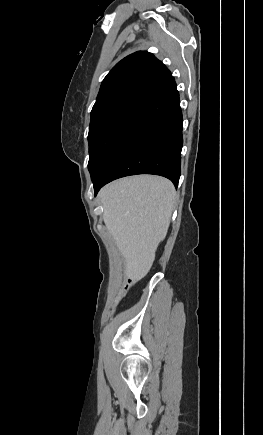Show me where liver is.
<instances>
[{
	"label": "liver",
	"instance_id": "liver-1",
	"mask_svg": "<svg viewBox=\"0 0 263 435\" xmlns=\"http://www.w3.org/2000/svg\"><path fill=\"white\" fill-rule=\"evenodd\" d=\"M175 195L172 182L150 175L114 181L99 193L104 223L125 259V276L134 282L152 267L170 225Z\"/></svg>",
	"mask_w": 263,
	"mask_h": 435
}]
</instances>
